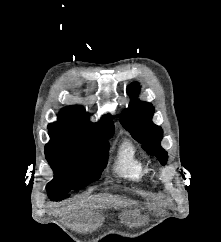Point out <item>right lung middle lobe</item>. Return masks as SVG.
<instances>
[{"label":"right lung middle lobe","instance_id":"dd1d6c3e","mask_svg":"<svg viewBox=\"0 0 221 242\" xmlns=\"http://www.w3.org/2000/svg\"><path fill=\"white\" fill-rule=\"evenodd\" d=\"M49 135L45 155L55 173L47 187L50 197L65 199L71 189H82L100 178L107 164L108 139L112 136L88 138L65 131H49Z\"/></svg>","mask_w":221,"mask_h":242}]
</instances>
